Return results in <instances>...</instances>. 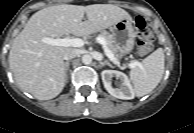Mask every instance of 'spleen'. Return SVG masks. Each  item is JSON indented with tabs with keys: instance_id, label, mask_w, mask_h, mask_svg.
I'll use <instances>...</instances> for the list:
<instances>
[{
	"instance_id": "3e777b00",
	"label": "spleen",
	"mask_w": 194,
	"mask_h": 133,
	"mask_svg": "<svg viewBox=\"0 0 194 133\" xmlns=\"http://www.w3.org/2000/svg\"><path fill=\"white\" fill-rule=\"evenodd\" d=\"M164 63V51L158 48L130 71V80L137 97L150 93L160 83L164 73Z\"/></svg>"
}]
</instances>
